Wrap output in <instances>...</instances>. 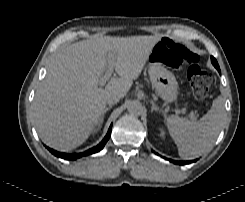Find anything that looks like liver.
<instances>
[{
	"mask_svg": "<svg viewBox=\"0 0 245 202\" xmlns=\"http://www.w3.org/2000/svg\"><path fill=\"white\" fill-rule=\"evenodd\" d=\"M158 40L156 36H92L61 48L32 106L41 140L60 151L83 144L98 125L106 96L111 92H120L122 97L127 94ZM109 54L114 55V69L120 77L111 78L101 88Z\"/></svg>",
	"mask_w": 245,
	"mask_h": 202,
	"instance_id": "1",
	"label": "liver"
}]
</instances>
